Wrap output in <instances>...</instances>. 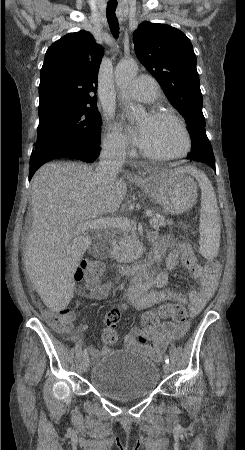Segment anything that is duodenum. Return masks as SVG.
<instances>
[{
	"label": "duodenum",
	"mask_w": 245,
	"mask_h": 450,
	"mask_svg": "<svg viewBox=\"0 0 245 450\" xmlns=\"http://www.w3.org/2000/svg\"><path fill=\"white\" fill-rule=\"evenodd\" d=\"M107 234L112 235V230H107ZM116 244V241L113 237L108 240V245L112 248ZM156 265V260L152 257L146 259L144 262H136L132 264H128L122 268V273L125 275H133V274H141L143 272H149L154 269Z\"/></svg>",
	"instance_id": "1"
}]
</instances>
